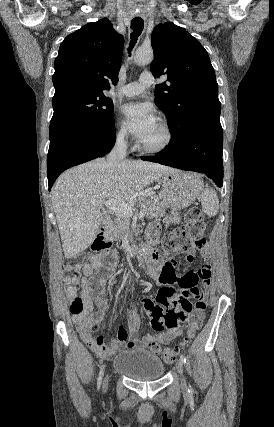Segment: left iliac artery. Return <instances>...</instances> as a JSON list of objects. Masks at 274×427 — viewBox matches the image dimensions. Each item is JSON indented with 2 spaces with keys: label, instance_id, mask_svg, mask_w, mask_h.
Listing matches in <instances>:
<instances>
[{
  "label": "left iliac artery",
  "instance_id": "obj_1",
  "mask_svg": "<svg viewBox=\"0 0 274 427\" xmlns=\"http://www.w3.org/2000/svg\"><path fill=\"white\" fill-rule=\"evenodd\" d=\"M180 359H181L182 363L186 364V358H185V356L182 353L180 354ZM188 392L191 393V394L194 392V390H193V388H192L191 385H189Z\"/></svg>",
  "mask_w": 274,
  "mask_h": 427
}]
</instances>
